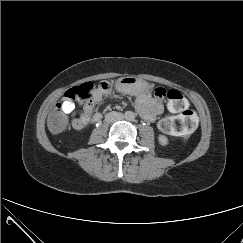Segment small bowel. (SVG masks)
Masks as SVG:
<instances>
[{
    "label": "small bowel",
    "mask_w": 243,
    "mask_h": 243,
    "mask_svg": "<svg viewBox=\"0 0 243 243\" xmlns=\"http://www.w3.org/2000/svg\"><path fill=\"white\" fill-rule=\"evenodd\" d=\"M108 91H103L99 88L95 89L93 92V101L85 104L84 110L87 114L91 113L94 103L99 102L102 99V96L107 94ZM62 103V109L65 114H71L75 111V105L73 102L64 100ZM135 107L139 115L147 122H153L156 117L163 112V103L162 99L152 97L150 92L145 90L140 92L135 100ZM78 118L73 119V126L76 127V121Z\"/></svg>",
    "instance_id": "obj_1"
}]
</instances>
